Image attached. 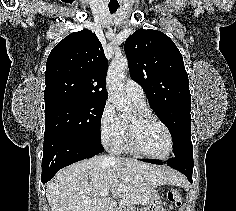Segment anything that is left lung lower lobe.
I'll use <instances>...</instances> for the list:
<instances>
[{
	"instance_id": "left-lung-lower-lobe-1",
	"label": "left lung lower lobe",
	"mask_w": 236,
	"mask_h": 211,
	"mask_svg": "<svg viewBox=\"0 0 236 211\" xmlns=\"http://www.w3.org/2000/svg\"><path fill=\"white\" fill-rule=\"evenodd\" d=\"M144 162H149L153 164L163 165L167 164L168 166L178 170L183 173L188 180L192 183V172H193V157H173L169 159L166 163H163L159 160L143 159Z\"/></svg>"
}]
</instances>
